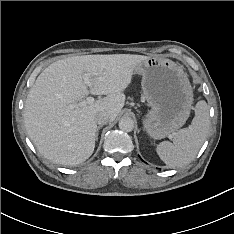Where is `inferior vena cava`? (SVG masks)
<instances>
[{"instance_id":"602c4592","label":"inferior vena cava","mask_w":234,"mask_h":234,"mask_svg":"<svg viewBox=\"0 0 234 234\" xmlns=\"http://www.w3.org/2000/svg\"><path fill=\"white\" fill-rule=\"evenodd\" d=\"M111 119V116L108 112L106 111H101V112H98L96 115H95V121L96 123H98L99 125H104L106 124L107 122H109Z\"/></svg>"}]
</instances>
